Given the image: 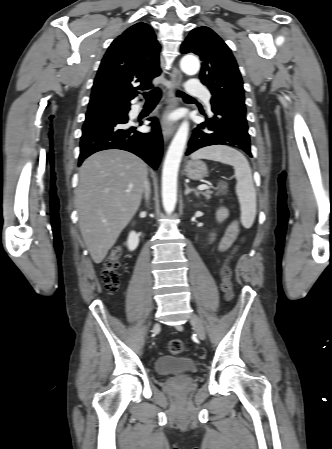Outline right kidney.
<instances>
[{"mask_svg": "<svg viewBox=\"0 0 332 449\" xmlns=\"http://www.w3.org/2000/svg\"><path fill=\"white\" fill-rule=\"evenodd\" d=\"M127 244L130 251H134L138 247L139 236L134 231L130 232Z\"/></svg>", "mask_w": 332, "mask_h": 449, "instance_id": "right-kidney-1", "label": "right kidney"}]
</instances>
